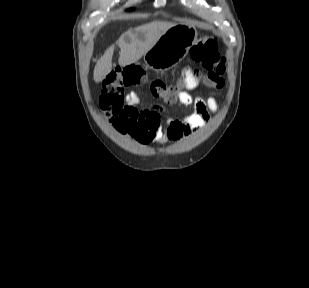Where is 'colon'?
Here are the masks:
<instances>
[{
  "label": "colon",
  "mask_w": 309,
  "mask_h": 288,
  "mask_svg": "<svg viewBox=\"0 0 309 288\" xmlns=\"http://www.w3.org/2000/svg\"><path fill=\"white\" fill-rule=\"evenodd\" d=\"M189 54L194 64L189 73L195 82L214 89L222 88L226 61L219 52L217 40L210 36L203 37L191 47ZM146 83L150 85L154 96L169 103L176 100L178 85L167 84L161 79L151 80L143 68L132 64L110 71L102 81L100 106L105 116L113 122L118 118L128 117L131 110L125 103V88Z\"/></svg>",
  "instance_id": "obj_1"
}]
</instances>
